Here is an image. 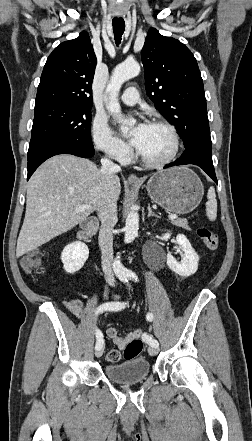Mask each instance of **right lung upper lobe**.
<instances>
[{
  "instance_id": "right-lung-upper-lobe-1",
  "label": "right lung upper lobe",
  "mask_w": 252,
  "mask_h": 441,
  "mask_svg": "<svg viewBox=\"0 0 252 441\" xmlns=\"http://www.w3.org/2000/svg\"><path fill=\"white\" fill-rule=\"evenodd\" d=\"M96 63L87 32L61 43L46 61L35 107L50 103L92 106V80Z\"/></svg>"
}]
</instances>
